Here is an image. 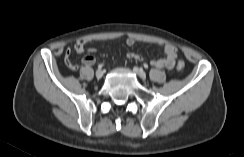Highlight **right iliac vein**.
<instances>
[{"mask_svg":"<svg viewBox=\"0 0 244 157\" xmlns=\"http://www.w3.org/2000/svg\"><path fill=\"white\" fill-rule=\"evenodd\" d=\"M96 77L98 79H101L103 77V71L101 69H99V70L96 71Z\"/></svg>","mask_w":244,"mask_h":157,"instance_id":"63e3f726","label":"right iliac vein"}]
</instances>
